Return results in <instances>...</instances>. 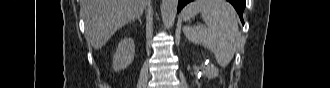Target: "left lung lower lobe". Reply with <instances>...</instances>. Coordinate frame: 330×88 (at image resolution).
I'll return each mask as SVG.
<instances>
[{
	"instance_id": "obj_1",
	"label": "left lung lower lobe",
	"mask_w": 330,
	"mask_h": 88,
	"mask_svg": "<svg viewBox=\"0 0 330 88\" xmlns=\"http://www.w3.org/2000/svg\"><path fill=\"white\" fill-rule=\"evenodd\" d=\"M193 0H179V3H178V12L189 2H191ZM228 2H230L234 8L236 9V11L238 12L239 14V17L241 19V22L244 24V21H243V11H244V8L242 6V3L244 0H227Z\"/></svg>"
}]
</instances>
